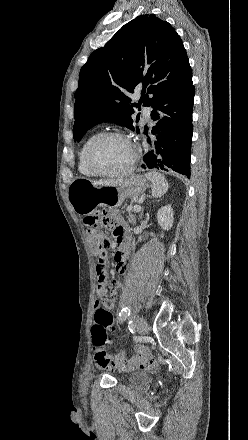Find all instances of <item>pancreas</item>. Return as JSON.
I'll use <instances>...</instances> for the list:
<instances>
[{"instance_id": "pancreas-1", "label": "pancreas", "mask_w": 248, "mask_h": 440, "mask_svg": "<svg viewBox=\"0 0 248 440\" xmlns=\"http://www.w3.org/2000/svg\"><path fill=\"white\" fill-rule=\"evenodd\" d=\"M127 218H128V221H129L131 224H133V225L136 224L135 215H133L132 210H129V215H128Z\"/></svg>"}]
</instances>
